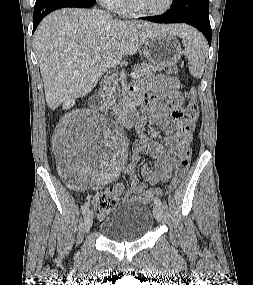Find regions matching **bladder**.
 Masks as SVG:
<instances>
[{"label": "bladder", "instance_id": "1", "mask_svg": "<svg viewBox=\"0 0 253 285\" xmlns=\"http://www.w3.org/2000/svg\"><path fill=\"white\" fill-rule=\"evenodd\" d=\"M151 209L140 202L124 201L111 208L100 223L101 234L110 241L136 242L151 230Z\"/></svg>", "mask_w": 253, "mask_h": 285}]
</instances>
